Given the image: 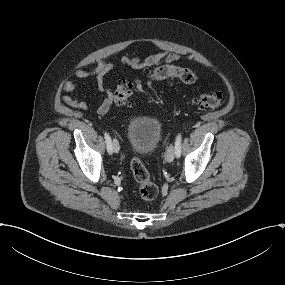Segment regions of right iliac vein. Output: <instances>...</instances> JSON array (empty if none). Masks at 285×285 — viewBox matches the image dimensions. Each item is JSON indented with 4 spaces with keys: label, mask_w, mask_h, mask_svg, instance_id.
<instances>
[{
    "label": "right iliac vein",
    "mask_w": 285,
    "mask_h": 285,
    "mask_svg": "<svg viewBox=\"0 0 285 285\" xmlns=\"http://www.w3.org/2000/svg\"><path fill=\"white\" fill-rule=\"evenodd\" d=\"M120 150V147H119V143L116 139H113L112 141V151L115 152V153H118Z\"/></svg>",
    "instance_id": "63e3f726"
}]
</instances>
